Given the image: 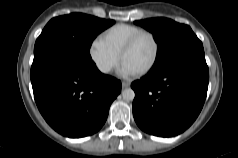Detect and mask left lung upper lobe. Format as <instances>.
Here are the masks:
<instances>
[{"label":"left lung upper lobe","instance_id":"1","mask_svg":"<svg viewBox=\"0 0 238 158\" xmlns=\"http://www.w3.org/2000/svg\"><path fill=\"white\" fill-rule=\"evenodd\" d=\"M135 23L153 33V37L158 44L154 67L161 65L185 50L202 46V42L189 26L179 24L171 19L150 18L135 21Z\"/></svg>","mask_w":238,"mask_h":158}]
</instances>
